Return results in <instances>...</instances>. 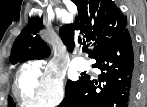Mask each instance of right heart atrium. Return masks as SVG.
<instances>
[{
	"label": "right heart atrium",
	"instance_id": "d8ad5b80",
	"mask_svg": "<svg viewBox=\"0 0 147 107\" xmlns=\"http://www.w3.org/2000/svg\"><path fill=\"white\" fill-rule=\"evenodd\" d=\"M62 79L54 65L30 62L18 74L17 98L28 106H55L64 97Z\"/></svg>",
	"mask_w": 147,
	"mask_h": 107
}]
</instances>
